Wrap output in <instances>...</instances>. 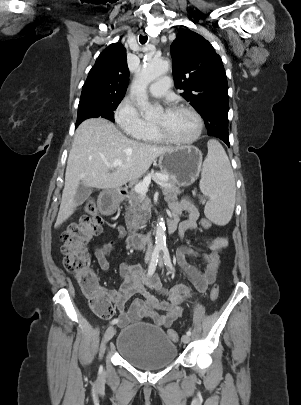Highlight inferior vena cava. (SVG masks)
I'll list each match as a JSON object with an SVG mask.
<instances>
[{
  "label": "inferior vena cava",
  "mask_w": 301,
  "mask_h": 405,
  "mask_svg": "<svg viewBox=\"0 0 301 405\" xmlns=\"http://www.w3.org/2000/svg\"><path fill=\"white\" fill-rule=\"evenodd\" d=\"M147 242H148L147 254H150L153 250V245L149 237L147 238Z\"/></svg>",
  "instance_id": "602c4592"
}]
</instances>
